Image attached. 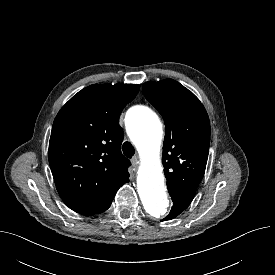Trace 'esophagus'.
I'll return each instance as SVG.
<instances>
[{
    "mask_svg": "<svg viewBox=\"0 0 275 275\" xmlns=\"http://www.w3.org/2000/svg\"><path fill=\"white\" fill-rule=\"evenodd\" d=\"M139 157L138 156H134L132 159H131V162L133 164L134 167H137L138 164H139Z\"/></svg>",
    "mask_w": 275,
    "mask_h": 275,
    "instance_id": "1",
    "label": "esophagus"
}]
</instances>
